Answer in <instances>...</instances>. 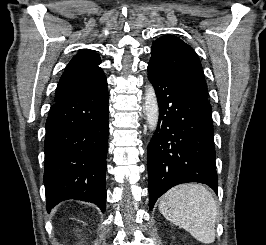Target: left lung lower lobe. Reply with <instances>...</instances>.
<instances>
[{"label": "left lung lower lobe", "mask_w": 266, "mask_h": 245, "mask_svg": "<svg viewBox=\"0 0 266 245\" xmlns=\"http://www.w3.org/2000/svg\"><path fill=\"white\" fill-rule=\"evenodd\" d=\"M159 105L148 146L149 207L175 185L199 182L217 194L212 108L201 92L156 62L148 64Z\"/></svg>", "instance_id": "obj_1"}]
</instances>
